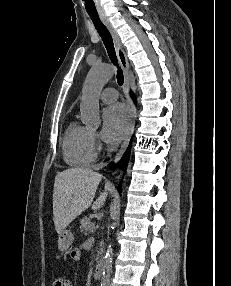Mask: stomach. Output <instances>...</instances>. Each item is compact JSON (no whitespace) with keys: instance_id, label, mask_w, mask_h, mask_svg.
<instances>
[{"instance_id":"stomach-1","label":"stomach","mask_w":231,"mask_h":286,"mask_svg":"<svg viewBox=\"0 0 231 286\" xmlns=\"http://www.w3.org/2000/svg\"><path fill=\"white\" fill-rule=\"evenodd\" d=\"M74 240L70 230L64 229L58 237V248L60 251H67Z\"/></svg>"}]
</instances>
